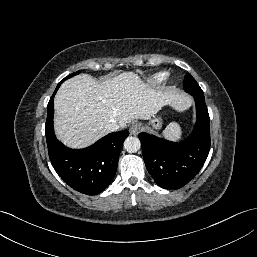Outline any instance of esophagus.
Returning <instances> with one entry per match:
<instances>
[{
	"label": "esophagus",
	"mask_w": 257,
	"mask_h": 257,
	"mask_svg": "<svg viewBox=\"0 0 257 257\" xmlns=\"http://www.w3.org/2000/svg\"><path fill=\"white\" fill-rule=\"evenodd\" d=\"M141 130V125L139 123H133L130 127V134L137 135Z\"/></svg>",
	"instance_id": "34e87169"
}]
</instances>
